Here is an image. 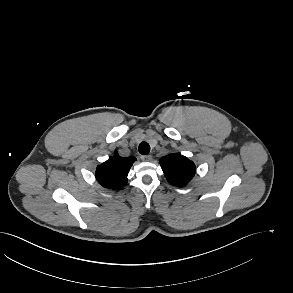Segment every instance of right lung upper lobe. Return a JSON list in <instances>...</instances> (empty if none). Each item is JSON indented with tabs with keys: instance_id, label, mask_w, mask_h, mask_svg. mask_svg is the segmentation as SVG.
<instances>
[{
	"instance_id": "1",
	"label": "right lung upper lobe",
	"mask_w": 293,
	"mask_h": 293,
	"mask_svg": "<svg viewBox=\"0 0 293 293\" xmlns=\"http://www.w3.org/2000/svg\"><path fill=\"white\" fill-rule=\"evenodd\" d=\"M135 157L113 156L96 168V178L105 188L119 190L127 184L130 167Z\"/></svg>"
}]
</instances>
